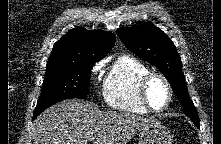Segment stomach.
<instances>
[{
    "label": "stomach",
    "instance_id": "obj_1",
    "mask_svg": "<svg viewBox=\"0 0 221 144\" xmlns=\"http://www.w3.org/2000/svg\"><path fill=\"white\" fill-rule=\"evenodd\" d=\"M173 135L170 130L160 122H155L144 128L138 139V144H172Z\"/></svg>",
    "mask_w": 221,
    "mask_h": 144
}]
</instances>
